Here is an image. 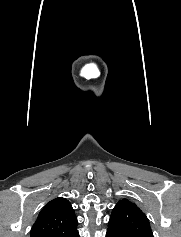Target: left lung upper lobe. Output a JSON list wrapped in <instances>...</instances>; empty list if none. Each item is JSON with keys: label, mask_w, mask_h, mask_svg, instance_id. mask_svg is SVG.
Masks as SVG:
<instances>
[{"label": "left lung upper lobe", "mask_w": 181, "mask_h": 237, "mask_svg": "<svg viewBox=\"0 0 181 237\" xmlns=\"http://www.w3.org/2000/svg\"><path fill=\"white\" fill-rule=\"evenodd\" d=\"M107 233L116 237H153L146 215L127 199L120 200L113 208Z\"/></svg>", "instance_id": "left-lung-upper-lobe-1"}]
</instances>
